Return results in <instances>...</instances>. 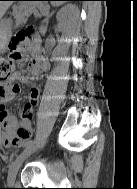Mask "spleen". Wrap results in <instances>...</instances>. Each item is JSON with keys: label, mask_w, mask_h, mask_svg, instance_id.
<instances>
[{"label": "spleen", "mask_w": 137, "mask_h": 189, "mask_svg": "<svg viewBox=\"0 0 137 189\" xmlns=\"http://www.w3.org/2000/svg\"><path fill=\"white\" fill-rule=\"evenodd\" d=\"M53 6H59L61 5L63 2L60 1H56V2H51Z\"/></svg>", "instance_id": "1"}]
</instances>
